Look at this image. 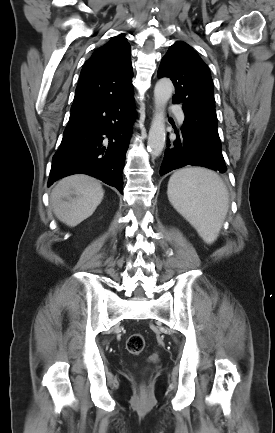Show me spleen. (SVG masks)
I'll return each mask as SVG.
<instances>
[{"mask_svg":"<svg viewBox=\"0 0 275 433\" xmlns=\"http://www.w3.org/2000/svg\"><path fill=\"white\" fill-rule=\"evenodd\" d=\"M167 195L206 243L216 240L229 203L228 190L219 175L204 168L180 169L170 177Z\"/></svg>","mask_w":275,"mask_h":433,"instance_id":"3e777b00","label":"spleen"}]
</instances>
